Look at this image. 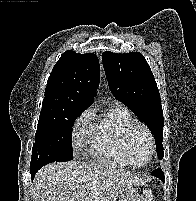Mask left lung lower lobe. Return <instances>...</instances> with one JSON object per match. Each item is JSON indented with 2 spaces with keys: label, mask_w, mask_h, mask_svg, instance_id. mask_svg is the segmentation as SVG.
Returning a JSON list of instances; mask_svg holds the SVG:
<instances>
[{
  "label": "left lung lower lobe",
  "mask_w": 196,
  "mask_h": 201,
  "mask_svg": "<svg viewBox=\"0 0 196 201\" xmlns=\"http://www.w3.org/2000/svg\"><path fill=\"white\" fill-rule=\"evenodd\" d=\"M152 175L156 176L159 178L162 182H164V173L162 172L161 169H156L152 172Z\"/></svg>",
  "instance_id": "obj_1"
}]
</instances>
